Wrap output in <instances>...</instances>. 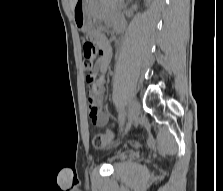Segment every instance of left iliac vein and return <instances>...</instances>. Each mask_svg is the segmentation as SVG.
Wrapping results in <instances>:
<instances>
[{
    "label": "left iliac vein",
    "instance_id": "obj_1",
    "mask_svg": "<svg viewBox=\"0 0 223 191\" xmlns=\"http://www.w3.org/2000/svg\"><path fill=\"white\" fill-rule=\"evenodd\" d=\"M140 104L136 99H131L129 102V107H128V124L125 128V132L129 130L132 124H135L137 122L139 113H140Z\"/></svg>",
    "mask_w": 223,
    "mask_h": 191
}]
</instances>
